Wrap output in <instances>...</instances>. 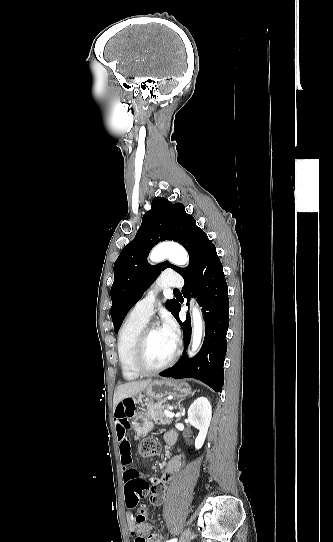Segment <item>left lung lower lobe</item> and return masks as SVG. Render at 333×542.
I'll list each match as a JSON object with an SVG mask.
<instances>
[{
  "label": "left lung lower lobe",
  "instance_id": "1",
  "mask_svg": "<svg viewBox=\"0 0 333 542\" xmlns=\"http://www.w3.org/2000/svg\"><path fill=\"white\" fill-rule=\"evenodd\" d=\"M183 278L184 297L189 300L190 296H195L202 307L206 324L205 340L199 353L193 359H188L183 354L173 367L160 375L176 379L195 378L209 385L216 392H221L224 384L223 364L227 352L229 300L223 267L216 248L210 240L204 245L195 268ZM178 301L174 317L183 329L184 345L187 348L191 337L190 315L187 313L186 320L180 321L181 304Z\"/></svg>",
  "mask_w": 333,
  "mask_h": 542
}]
</instances>
